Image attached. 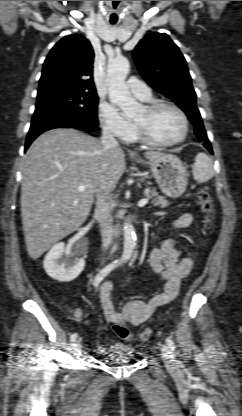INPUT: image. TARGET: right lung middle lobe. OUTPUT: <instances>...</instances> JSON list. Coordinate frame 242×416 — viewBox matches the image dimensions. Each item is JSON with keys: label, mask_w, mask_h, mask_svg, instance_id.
Instances as JSON below:
<instances>
[{"label": "right lung middle lobe", "mask_w": 242, "mask_h": 416, "mask_svg": "<svg viewBox=\"0 0 242 416\" xmlns=\"http://www.w3.org/2000/svg\"><path fill=\"white\" fill-rule=\"evenodd\" d=\"M96 92L59 89L38 95L32 123L45 117H67L85 124L98 125Z\"/></svg>", "instance_id": "right-lung-middle-lobe-1"}]
</instances>
